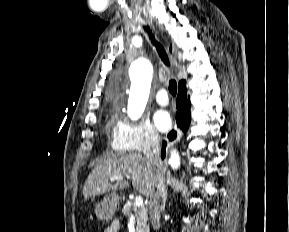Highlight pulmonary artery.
Masks as SVG:
<instances>
[{"mask_svg": "<svg viewBox=\"0 0 289 232\" xmlns=\"http://www.w3.org/2000/svg\"><path fill=\"white\" fill-rule=\"evenodd\" d=\"M156 102L161 106H166L169 103L168 95L165 89H160L155 96Z\"/></svg>", "mask_w": 289, "mask_h": 232, "instance_id": "1", "label": "pulmonary artery"}]
</instances>
